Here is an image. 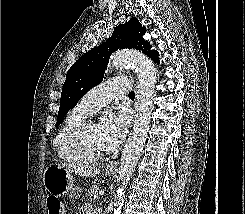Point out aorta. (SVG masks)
I'll list each match as a JSON object with an SVG mask.
<instances>
[{
	"label": "aorta",
	"instance_id": "aorta-1",
	"mask_svg": "<svg viewBox=\"0 0 245 214\" xmlns=\"http://www.w3.org/2000/svg\"><path fill=\"white\" fill-rule=\"evenodd\" d=\"M111 65L115 68H124L131 65L138 76L135 121L132 133L122 152L118 172L121 185L114 196L113 214H121L125 200V187L135 171L140 153L147 139L153 107L156 69L148 57L135 51L116 52L111 56Z\"/></svg>",
	"mask_w": 245,
	"mask_h": 214
}]
</instances>
